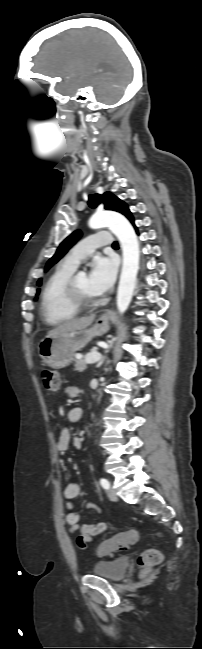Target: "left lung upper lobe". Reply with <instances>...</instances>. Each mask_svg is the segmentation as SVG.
<instances>
[{"instance_id": "obj_1", "label": "left lung upper lobe", "mask_w": 202, "mask_h": 649, "mask_svg": "<svg viewBox=\"0 0 202 649\" xmlns=\"http://www.w3.org/2000/svg\"><path fill=\"white\" fill-rule=\"evenodd\" d=\"M104 203L105 209L108 210H113L117 211L123 215H125L127 218L131 216V212L128 209V206L126 203L121 201L119 198H117L115 195H113L110 192H106L103 195L99 194H92L89 195V201L88 204L91 208L97 207L98 204ZM81 237V232L80 231H75L73 232L70 236H68L58 247L55 255L49 259L47 262V265L45 267V271H47L52 265H54L56 262L59 261L60 258H62L66 252L69 250L71 246H73L76 241ZM37 285H41V279L37 282ZM39 293V290H38ZM38 293L36 295H38ZM37 299V298H35Z\"/></svg>"}]
</instances>
